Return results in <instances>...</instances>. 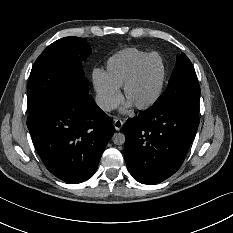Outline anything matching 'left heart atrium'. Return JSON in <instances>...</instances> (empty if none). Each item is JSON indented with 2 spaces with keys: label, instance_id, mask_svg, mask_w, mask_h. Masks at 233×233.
I'll return each instance as SVG.
<instances>
[{
  "label": "left heart atrium",
  "instance_id": "1",
  "mask_svg": "<svg viewBox=\"0 0 233 233\" xmlns=\"http://www.w3.org/2000/svg\"><path fill=\"white\" fill-rule=\"evenodd\" d=\"M134 106L135 105L129 99H127L120 111L121 113H126L128 110H130Z\"/></svg>",
  "mask_w": 233,
  "mask_h": 233
}]
</instances>
